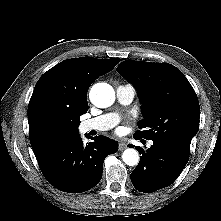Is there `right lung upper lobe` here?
<instances>
[{
    "label": "right lung upper lobe",
    "instance_id": "cb5924a9",
    "mask_svg": "<svg viewBox=\"0 0 221 221\" xmlns=\"http://www.w3.org/2000/svg\"><path fill=\"white\" fill-rule=\"evenodd\" d=\"M119 61L72 58L40 77L28 106L29 138L36 157L79 135L75 121L88 110L86 95L90 85Z\"/></svg>",
    "mask_w": 221,
    "mask_h": 221
}]
</instances>
